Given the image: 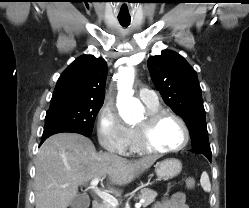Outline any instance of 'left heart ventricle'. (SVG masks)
<instances>
[{
	"instance_id": "1",
	"label": "left heart ventricle",
	"mask_w": 249,
	"mask_h": 208,
	"mask_svg": "<svg viewBox=\"0 0 249 208\" xmlns=\"http://www.w3.org/2000/svg\"><path fill=\"white\" fill-rule=\"evenodd\" d=\"M143 121L144 119L139 124ZM183 139L184 132L181 125L172 118L163 119L149 136L151 145L159 149L175 148L183 142Z\"/></svg>"
}]
</instances>
